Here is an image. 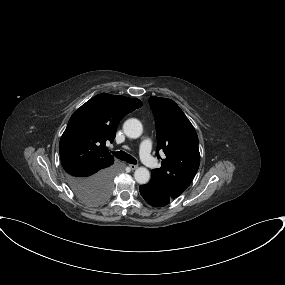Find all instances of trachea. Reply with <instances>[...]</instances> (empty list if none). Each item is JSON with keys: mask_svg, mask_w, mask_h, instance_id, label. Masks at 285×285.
<instances>
[{"mask_svg": "<svg viewBox=\"0 0 285 285\" xmlns=\"http://www.w3.org/2000/svg\"><path fill=\"white\" fill-rule=\"evenodd\" d=\"M112 153L116 158H118L120 160H124L130 164H136L137 163L135 158H133L131 155L127 154L124 151H117V152H112Z\"/></svg>", "mask_w": 285, "mask_h": 285, "instance_id": "3493384b", "label": "trachea"}]
</instances>
